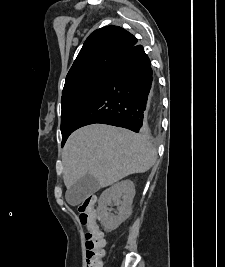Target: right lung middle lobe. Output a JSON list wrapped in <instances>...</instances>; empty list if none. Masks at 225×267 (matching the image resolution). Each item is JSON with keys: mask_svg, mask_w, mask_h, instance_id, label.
<instances>
[{"mask_svg": "<svg viewBox=\"0 0 225 267\" xmlns=\"http://www.w3.org/2000/svg\"><path fill=\"white\" fill-rule=\"evenodd\" d=\"M107 76L108 73L94 75L64 87L61 99L62 146L74 131L77 119L97 93Z\"/></svg>", "mask_w": 225, "mask_h": 267, "instance_id": "dd1d6c3e", "label": "right lung middle lobe"}]
</instances>
